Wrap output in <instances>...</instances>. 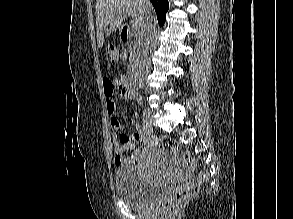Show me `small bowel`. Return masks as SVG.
Masks as SVG:
<instances>
[{
    "mask_svg": "<svg viewBox=\"0 0 293 219\" xmlns=\"http://www.w3.org/2000/svg\"><path fill=\"white\" fill-rule=\"evenodd\" d=\"M104 94L106 97V106L108 113L110 115L111 127L114 131V150H115V164L117 166H122L130 163L136 162L146 151L149 145L148 137L146 136L144 130L139 128L135 123L132 125L135 127V132L132 135L117 132L125 128V124L119 122L115 113V103L113 100L114 90L117 86H125V77H122L119 81H111L109 79H104ZM127 98L138 103L141 102V98L135 91L129 90L127 93ZM137 143H142V146L134 151L132 154L125 156L124 152L128 150H134Z\"/></svg>",
    "mask_w": 293,
    "mask_h": 219,
    "instance_id": "c3829d8e",
    "label": "small bowel"
}]
</instances>
